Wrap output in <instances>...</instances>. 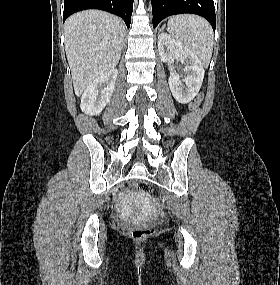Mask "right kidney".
Here are the masks:
<instances>
[{"label":"right kidney","mask_w":280,"mask_h":285,"mask_svg":"<svg viewBox=\"0 0 280 285\" xmlns=\"http://www.w3.org/2000/svg\"><path fill=\"white\" fill-rule=\"evenodd\" d=\"M117 75L118 70L111 69L88 85L80 103V108L85 114L94 116L102 112L111 98Z\"/></svg>","instance_id":"1"}]
</instances>
